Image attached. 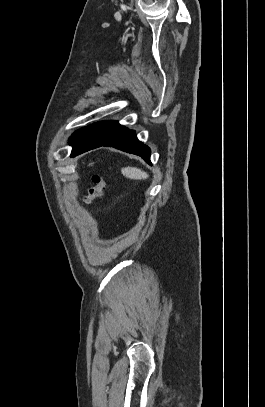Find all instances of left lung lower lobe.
<instances>
[{
	"instance_id": "1",
	"label": "left lung lower lobe",
	"mask_w": 265,
	"mask_h": 407,
	"mask_svg": "<svg viewBox=\"0 0 265 407\" xmlns=\"http://www.w3.org/2000/svg\"><path fill=\"white\" fill-rule=\"evenodd\" d=\"M101 146H110L122 150L124 152H128L131 154L138 155L142 157L147 163L151 164L150 162V148L140 142L135 134V131L126 129L119 135L113 137L112 139L108 140L105 143H99L89 148L80 149L74 152H71V157L77 156L83 152H86L91 149H95Z\"/></svg>"
}]
</instances>
